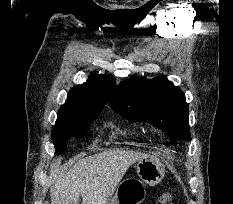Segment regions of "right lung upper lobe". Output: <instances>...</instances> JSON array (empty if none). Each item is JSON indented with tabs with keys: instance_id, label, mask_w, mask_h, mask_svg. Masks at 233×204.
Segmentation results:
<instances>
[{
	"instance_id": "1",
	"label": "right lung upper lobe",
	"mask_w": 233,
	"mask_h": 204,
	"mask_svg": "<svg viewBox=\"0 0 233 204\" xmlns=\"http://www.w3.org/2000/svg\"><path fill=\"white\" fill-rule=\"evenodd\" d=\"M115 82L105 76L90 75L83 85L73 87L65 104L59 109L58 119L53 128L71 121L99 114L109 100Z\"/></svg>"
}]
</instances>
